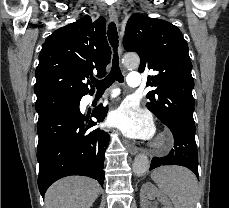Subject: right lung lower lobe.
I'll use <instances>...</instances> for the list:
<instances>
[{"mask_svg":"<svg viewBox=\"0 0 229 208\" xmlns=\"http://www.w3.org/2000/svg\"><path fill=\"white\" fill-rule=\"evenodd\" d=\"M107 107H96L87 116L82 115L79 105L62 110L37 126L39 162L38 187L41 195L56 180L69 175L94 178L103 185L104 154L109 135L98 129L90 117L103 121Z\"/></svg>","mask_w":229,"mask_h":208,"instance_id":"98d812e1","label":"right lung lower lobe"}]
</instances>
